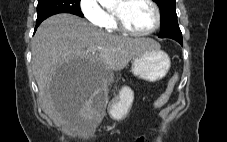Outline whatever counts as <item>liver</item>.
Masks as SVG:
<instances>
[{"instance_id": "1", "label": "liver", "mask_w": 227, "mask_h": 142, "mask_svg": "<svg viewBox=\"0 0 227 142\" xmlns=\"http://www.w3.org/2000/svg\"><path fill=\"white\" fill-rule=\"evenodd\" d=\"M31 47L32 70L47 113L70 131L87 134L94 132L89 112L95 94L102 88L95 64L119 71L141 52L160 46L149 38L105 33L78 16L63 13L40 24ZM60 61H91L86 68L95 73V78H88L84 88H55L51 76Z\"/></svg>"}]
</instances>
